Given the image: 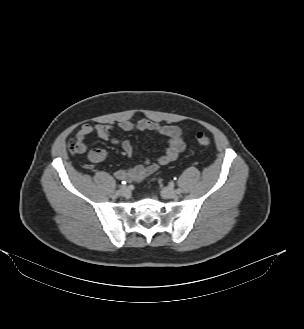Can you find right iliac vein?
Here are the masks:
<instances>
[{"label":"right iliac vein","mask_w":304,"mask_h":329,"mask_svg":"<svg viewBox=\"0 0 304 329\" xmlns=\"http://www.w3.org/2000/svg\"><path fill=\"white\" fill-rule=\"evenodd\" d=\"M129 194H130V191L127 187H125V186L121 187L119 195L127 197V196H129Z\"/></svg>","instance_id":"1"}]
</instances>
